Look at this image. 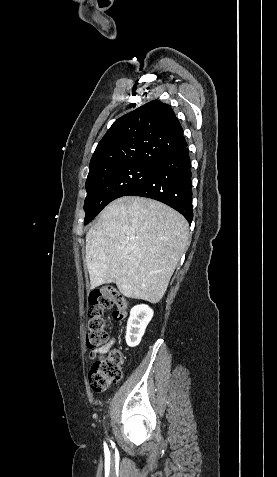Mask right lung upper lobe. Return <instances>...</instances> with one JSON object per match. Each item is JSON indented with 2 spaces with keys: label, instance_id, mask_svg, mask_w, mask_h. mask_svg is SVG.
<instances>
[{
  "label": "right lung upper lobe",
  "instance_id": "cb5924a9",
  "mask_svg": "<svg viewBox=\"0 0 277 477\" xmlns=\"http://www.w3.org/2000/svg\"><path fill=\"white\" fill-rule=\"evenodd\" d=\"M187 146L172 108L151 101L117 119L97 145L89 173L127 163L157 165Z\"/></svg>",
  "mask_w": 277,
  "mask_h": 477
}]
</instances>
